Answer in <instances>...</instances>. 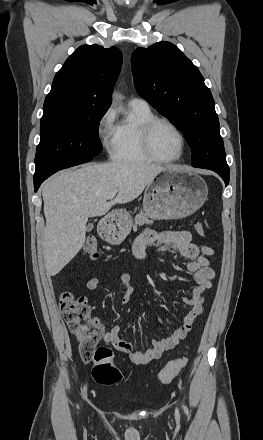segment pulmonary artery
Returning a JSON list of instances; mask_svg holds the SVG:
<instances>
[{"label":"pulmonary artery","instance_id":"obj_1","mask_svg":"<svg viewBox=\"0 0 263 440\" xmlns=\"http://www.w3.org/2000/svg\"><path fill=\"white\" fill-rule=\"evenodd\" d=\"M130 105H135V106H149L148 102L143 99V98H139V97H133L130 99L129 101Z\"/></svg>","mask_w":263,"mask_h":440}]
</instances>
